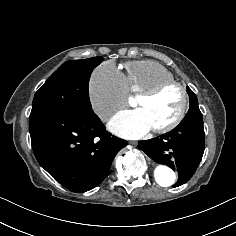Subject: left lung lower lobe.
<instances>
[{
  "label": "left lung lower lobe",
  "mask_w": 236,
  "mask_h": 236,
  "mask_svg": "<svg viewBox=\"0 0 236 236\" xmlns=\"http://www.w3.org/2000/svg\"><path fill=\"white\" fill-rule=\"evenodd\" d=\"M138 148L156 163L177 171L178 181L174 187H178L193 176L202 159L205 148L203 118H184L172 131L140 141Z\"/></svg>",
  "instance_id": "0a47b994"
}]
</instances>
